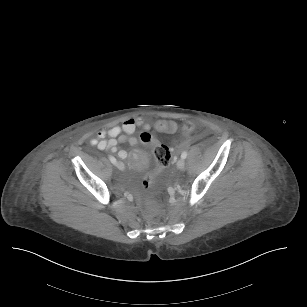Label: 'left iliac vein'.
I'll return each instance as SVG.
<instances>
[{"instance_id": "obj_1", "label": "left iliac vein", "mask_w": 307, "mask_h": 307, "mask_svg": "<svg viewBox=\"0 0 307 307\" xmlns=\"http://www.w3.org/2000/svg\"><path fill=\"white\" fill-rule=\"evenodd\" d=\"M177 167L180 169V170H183L185 168V160L184 159H179L177 161Z\"/></svg>"}]
</instances>
